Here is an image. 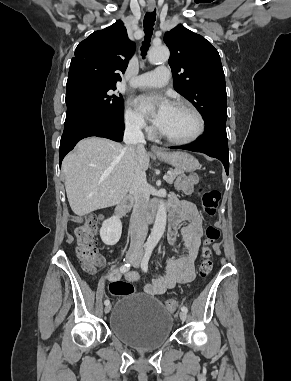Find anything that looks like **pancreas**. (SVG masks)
I'll return each mask as SVG.
<instances>
[{
	"label": "pancreas",
	"mask_w": 291,
	"mask_h": 381,
	"mask_svg": "<svg viewBox=\"0 0 291 381\" xmlns=\"http://www.w3.org/2000/svg\"><path fill=\"white\" fill-rule=\"evenodd\" d=\"M180 174L179 170H173L171 169L168 173V179L166 180L167 183L172 184L174 179Z\"/></svg>",
	"instance_id": "obj_1"
}]
</instances>
